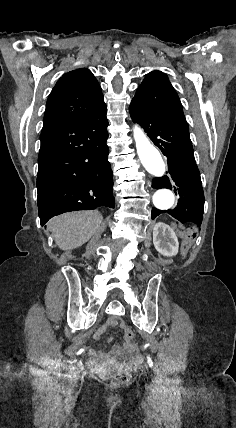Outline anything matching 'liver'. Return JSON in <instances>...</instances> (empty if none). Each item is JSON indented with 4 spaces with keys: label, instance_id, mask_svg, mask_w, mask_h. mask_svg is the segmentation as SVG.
Masks as SVG:
<instances>
[{
    "label": "liver",
    "instance_id": "6515ba94",
    "mask_svg": "<svg viewBox=\"0 0 236 428\" xmlns=\"http://www.w3.org/2000/svg\"><path fill=\"white\" fill-rule=\"evenodd\" d=\"M103 216L99 212H74L62 214L48 222V230L60 250H74L86 244L95 232H102Z\"/></svg>",
    "mask_w": 236,
    "mask_h": 428
}]
</instances>
